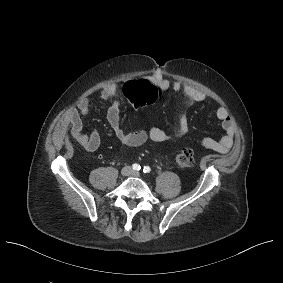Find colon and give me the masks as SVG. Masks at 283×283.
Segmentation results:
<instances>
[{"instance_id":"5ec220e1","label":"colon","mask_w":283,"mask_h":283,"mask_svg":"<svg viewBox=\"0 0 283 283\" xmlns=\"http://www.w3.org/2000/svg\"><path fill=\"white\" fill-rule=\"evenodd\" d=\"M124 95L135 108L152 104L161 95V89L146 80L131 81L124 86ZM174 163L179 168H188L194 165L195 157L191 149L179 151L174 158Z\"/></svg>"}]
</instances>
